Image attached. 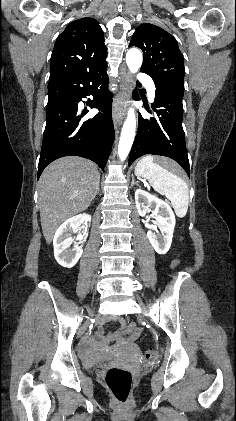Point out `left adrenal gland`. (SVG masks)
Masks as SVG:
<instances>
[{"label": "left adrenal gland", "instance_id": "left-adrenal-gland-1", "mask_svg": "<svg viewBox=\"0 0 236 421\" xmlns=\"http://www.w3.org/2000/svg\"><path fill=\"white\" fill-rule=\"evenodd\" d=\"M131 176H132L131 186H133V184H137V182H135L134 174H131ZM137 186H140V184H137Z\"/></svg>", "mask_w": 236, "mask_h": 421}]
</instances>
